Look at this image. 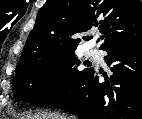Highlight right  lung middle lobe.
<instances>
[{
	"label": "right lung middle lobe",
	"mask_w": 142,
	"mask_h": 119,
	"mask_svg": "<svg viewBox=\"0 0 142 119\" xmlns=\"http://www.w3.org/2000/svg\"><path fill=\"white\" fill-rule=\"evenodd\" d=\"M74 51L44 56L18 69L12 81L17 101L52 105L73 92L92 68L80 70Z\"/></svg>",
	"instance_id": "obj_1"
}]
</instances>
